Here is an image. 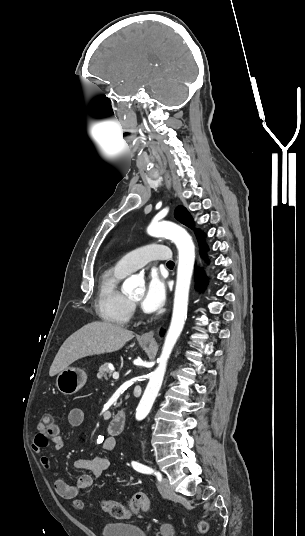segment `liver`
Returning <instances> with one entry per match:
<instances>
[{"instance_id": "liver-1", "label": "liver", "mask_w": 305, "mask_h": 536, "mask_svg": "<svg viewBox=\"0 0 305 536\" xmlns=\"http://www.w3.org/2000/svg\"><path fill=\"white\" fill-rule=\"evenodd\" d=\"M134 338L133 332L108 324V322H92L74 332L62 344L56 354L49 370V376H56L62 370H67L70 364L95 354H109L125 346L126 342Z\"/></svg>"}]
</instances>
